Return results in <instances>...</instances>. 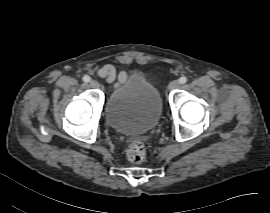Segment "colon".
Listing matches in <instances>:
<instances>
[{
    "mask_svg": "<svg viewBox=\"0 0 270 213\" xmlns=\"http://www.w3.org/2000/svg\"><path fill=\"white\" fill-rule=\"evenodd\" d=\"M126 157L129 162L134 164L144 161L146 157V147L140 138H135L129 143L126 149Z\"/></svg>",
    "mask_w": 270,
    "mask_h": 213,
    "instance_id": "1",
    "label": "colon"
}]
</instances>
